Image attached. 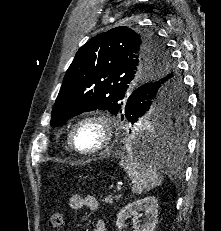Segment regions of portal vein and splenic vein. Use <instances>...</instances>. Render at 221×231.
Wrapping results in <instances>:
<instances>
[{"label": "portal vein and splenic vein", "mask_w": 221, "mask_h": 231, "mask_svg": "<svg viewBox=\"0 0 221 231\" xmlns=\"http://www.w3.org/2000/svg\"><path fill=\"white\" fill-rule=\"evenodd\" d=\"M121 190V185H118L117 186V191H120Z\"/></svg>", "instance_id": "18ae733b"}]
</instances>
